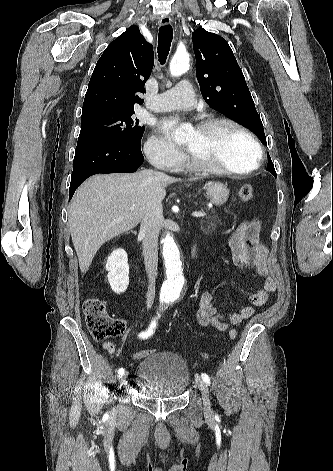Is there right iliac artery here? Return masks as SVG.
I'll return each mask as SVG.
<instances>
[{
    "instance_id": "82829eb1",
    "label": "right iliac artery",
    "mask_w": 333,
    "mask_h": 471,
    "mask_svg": "<svg viewBox=\"0 0 333 471\" xmlns=\"http://www.w3.org/2000/svg\"><path fill=\"white\" fill-rule=\"evenodd\" d=\"M156 324H157L156 319H154V320L151 322L149 328H148L146 331L141 332V333L139 334V337H140L141 339H146V338L150 337V336L154 333ZM118 374H119V376H122V375L124 374V368H120V369L118 370Z\"/></svg>"
}]
</instances>
